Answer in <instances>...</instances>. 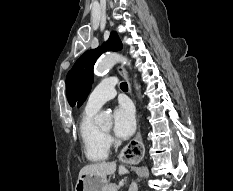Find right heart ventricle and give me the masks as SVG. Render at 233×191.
<instances>
[{
  "instance_id": "obj_1",
  "label": "right heart ventricle",
  "mask_w": 233,
  "mask_h": 191,
  "mask_svg": "<svg viewBox=\"0 0 233 191\" xmlns=\"http://www.w3.org/2000/svg\"><path fill=\"white\" fill-rule=\"evenodd\" d=\"M97 111L85 110L79 124V135L86 158L91 162H101L109 156V144L104 132L94 123Z\"/></svg>"
}]
</instances>
